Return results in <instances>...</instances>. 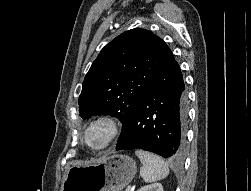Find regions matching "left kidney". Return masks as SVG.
Returning a JSON list of instances; mask_svg holds the SVG:
<instances>
[{
  "label": "left kidney",
  "instance_id": "left-kidney-1",
  "mask_svg": "<svg viewBox=\"0 0 251 191\" xmlns=\"http://www.w3.org/2000/svg\"><path fill=\"white\" fill-rule=\"evenodd\" d=\"M138 191H164L162 183H149V185H143Z\"/></svg>",
  "mask_w": 251,
  "mask_h": 191
}]
</instances>
